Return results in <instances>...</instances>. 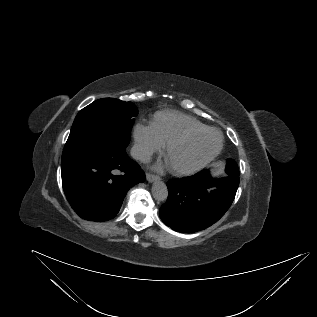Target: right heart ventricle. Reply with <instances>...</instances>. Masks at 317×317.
<instances>
[{
    "mask_svg": "<svg viewBox=\"0 0 317 317\" xmlns=\"http://www.w3.org/2000/svg\"><path fill=\"white\" fill-rule=\"evenodd\" d=\"M150 126L162 146L188 130L207 127L189 115L170 110L156 112Z\"/></svg>",
    "mask_w": 317,
    "mask_h": 317,
    "instance_id": "right-heart-ventricle-1",
    "label": "right heart ventricle"
}]
</instances>
